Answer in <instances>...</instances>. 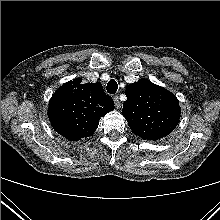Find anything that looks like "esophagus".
<instances>
[{"mask_svg":"<svg viewBox=\"0 0 220 220\" xmlns=\"http://www.w3.org/2000/svg\"><path fill=\"white\" fill-rule=\"evenodd\" d=\"M113 100H114L115 107H116L117 109L121 108V102H120V100H119V97H118V96H114V97H113Z\"/></svg>","mask_w":220,"mask_h":220,"instance_id":"34e87169","label":"esophagus"}]
</instances>
